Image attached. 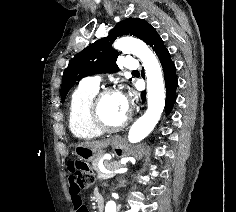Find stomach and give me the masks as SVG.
Segmentation results:
<instances>
[{
    "mask_svg": "<svg viewBox=\"0 0 236 212\" xmlns=\"http://www.w3.org/2000/svg\"><path fill=\"white\" fill-rule=\"evenodd\" d=\"M111 146H112L114 152L120 156H125L126 154H129V153H134L136 155L141 154L140 148H137L135 150L129 149L125 145L123 140L117 136L113 137V139L111 140ZM73 154L76 155L81 160H84L86 162H91V161L97 159L98 157H100L102 155V151L95 152L92 149L85 147V146H76L73 151Z\"/></svg>",
    "mask_w": 236,
    "mask_h": 212,
    "instance_id": "0dacf381",
    "label": "stomach"
}]
</instances>
